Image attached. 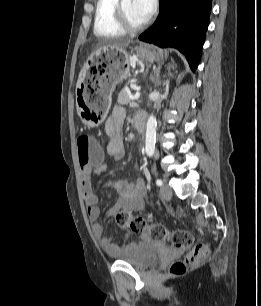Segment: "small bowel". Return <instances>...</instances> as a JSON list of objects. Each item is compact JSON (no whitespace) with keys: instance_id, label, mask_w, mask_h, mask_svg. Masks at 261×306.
<instances>
[{"instance_id":"small-bowel-1","label":"small bowel","mask_w":261,"mask_h":306,"mask_svg":"<svg viewBox=\"0 0 261 306\" xmlns=\"http://www.w3.org/2000/svg\"><path fill=\"white\" fill-rule=\"evenodd\" d=\"M125 117L126 109L122 106H115L105 123V132L109 138L105 153L114 160H121L125 156L121 134ZM106 169L107 164L102 159L97 163L83 167L81 170V185L87 213L89 219L93 222V232L96 238L105 251L112 254H120L124 250L130 249L132 245L122 246L116 244L112 237L105 234L103 225L98 223L100 209L98 207V196L93 189L92 178L95 175L103 173ZM107 186L114 188L120 196L117 205L108 215H112L121 209L139 211L145 207L146 188L141 179L137 178L131 181L120 180L109 183Z\"/></svg>"}]
</instances>
